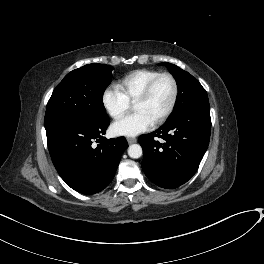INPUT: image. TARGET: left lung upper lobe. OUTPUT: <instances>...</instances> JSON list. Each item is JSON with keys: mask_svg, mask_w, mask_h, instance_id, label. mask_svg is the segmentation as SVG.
<instances>
[{"mask_svg": "<svg viewBox=\"0 0 264 264\" xmlns=\"http://www.w3.org/2000/svg\"><path fill=\"white\" fill-rule=\"evenodd\" d=\"M162 64L169 68L178 87L177 99L170 119L193 104L209 102L206 90L196 78L174 64L168 62Z\"/></svg>", "mask_w": 264, "mask_h": 264, "instance_id": "1", "label": "left lung upper lobe"}]
</instances>
